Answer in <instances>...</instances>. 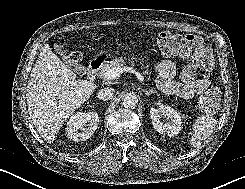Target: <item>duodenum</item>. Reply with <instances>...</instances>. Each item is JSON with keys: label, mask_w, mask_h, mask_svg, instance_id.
Here are the masks:
<instances>
[{"label": "duodenum", "mask_w": 245, "mask_h": 189, "mask_svg": "<svg viewBox=\"0 0 245 189\" xmlns=\"http://www.w3.org/2000/svg\"><path fill=\"white\" fill-rule=\"evenodd\" d=\"M111 58V55L106 51L98 52L89 62L88 74L89 78H93L94 75L107 63Z\"/></svg>", "instance_id": "1"}]
</instances>
